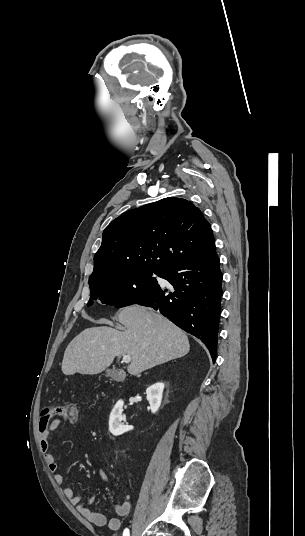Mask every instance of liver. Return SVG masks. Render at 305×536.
I'll return each mask as SVG.
<instances>
[{
    "label": "liver",
    "instance_id": "obj_1",
    "mask_svg": "<svg viewBox=\"0 0 305 536\" xmlns=\"http://www.w3.org/2000/svg\"><path fill=\"white\" fill-rule=\"evenodd\" d=\"M126 332L108 326L87 328L67 346L62 362L65 376L100 374L111 366L116 356H131L128 374L137 376L144 370L186 356L189 340L183 330L167 318L143 306H129L117 314ZM94 324H111L109 320H92Z\"/></svg>",
    "mask_w": 305,
    "mask_h": 536
}]
</instances>
